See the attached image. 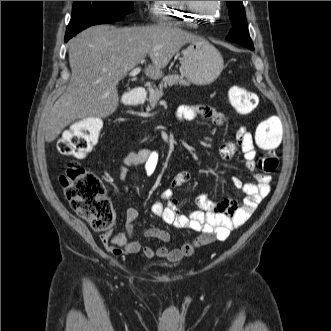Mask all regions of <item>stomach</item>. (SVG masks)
Instances as JSON below:
<instances>
[{
    "label": "stomach",
    "mask_w": 331,
    "mask_h": 331,
    "mask_svg": "<svg viewBox=\"0 0 331 331\" xmlns=\"http://www.w3.org/2000/svg\"><path fill=\"white\" fill-rule=\"evenodd\" d=\"M180 63L182 75L195 85L212 83L224 68L220 52L203 39L190 43L183 51Z\"/></svg>",
    "instance_id": "0dacf381"
}]
</instances>
